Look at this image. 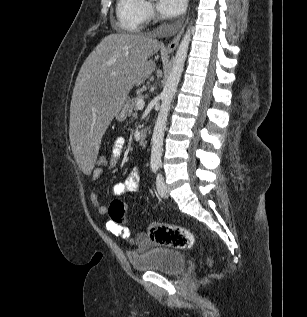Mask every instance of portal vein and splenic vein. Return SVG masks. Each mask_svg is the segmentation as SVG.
<instances>
[{"label":"portal vein and splenic vein","mask_w":307,"mask_h":317,"mask_svg":"<svg viewBox=\"0 0 307 317\" xmlns=\"http://www.w3.org/2000/svg\"><path fill=\"white\" fill-rule=\"evenodd\" d=\"M144 105H145V102H144L143 100H139V101L137 102V109H138V110H143Z\"/></svg>","instance_id":"portal-vein-and-splenic-vein-1"}]
</instances>
